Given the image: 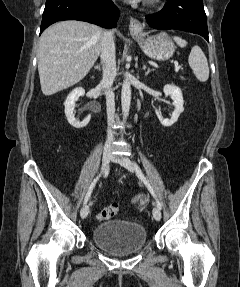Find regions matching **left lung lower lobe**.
Instances as JSON below:
<instances>
[{"instance_id": "left-lung-lower-lobe-1", "label": "left lung lower lobe", "mask_w": 240, "mask_h": 287, "mask_svg": "<svg viewBox=\"0 0 240 287\" xmlns=\"http://www.w3.org/2000/svg\"><path fill=\"white\" fill-rule=\"evenodd\" d=\"M146 21L155 29L183 30L199 34L209 41L203 0H168L161 11L147 15Z\"/></svg>"}]
</instances>
